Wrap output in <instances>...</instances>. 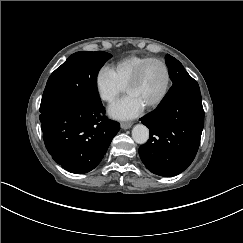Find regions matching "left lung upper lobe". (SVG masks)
Listing matches in <instances>:
<instances>
[{"label": "left lung upper lobe", "instance_id": "left-lung-upper-lobe-1", "mask_svg": "<svg viewBox=\"0 0 243 243\" xmlns=\"http://www.w3.org/2000/svg\"><path fill=\"white\" fill-rule=\"evenodd\" d=\"M165 60L173 83L165 98L180 90H200L198 83L187 73L177 59L167 54Z\"/></svg>", "mask_w": 243, "mask_h": 243}]
</instances>
